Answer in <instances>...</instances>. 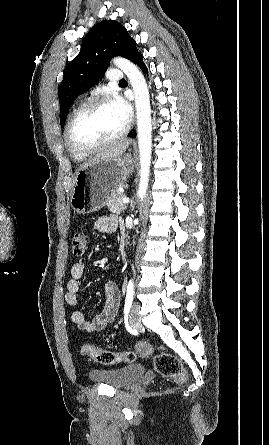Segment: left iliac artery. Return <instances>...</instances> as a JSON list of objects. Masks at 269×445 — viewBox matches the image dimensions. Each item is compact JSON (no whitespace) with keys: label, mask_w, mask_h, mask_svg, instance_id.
Segmentation results:
<instances>
[{"label":"left iliac artery","mask_w":269,"mask_h":445,"mask_svg":"<svg viewBox=\"0 0 269 445\" xmlns=\"http://www.w3.org/2000/svg\"><path fill=\"white\" fill-rule=\"evenodd\" d=\"M134 296V284L133 281L130 280L127 285V293H126V299H125V306H124V314L127 315L129 313V310L132 305Z\"/></svg>","instance_id":"left-iliac-artery-1"}]
</instances>
